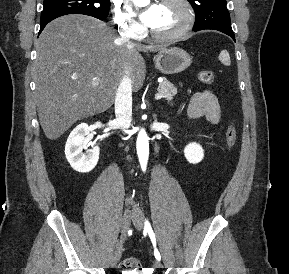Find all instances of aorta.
<instances>
[{"mask_svg": "<svg viewBox=\"0 0 289 274\" xmlns=\"http://www.w3.org/2000/svg\"><path fill=\"white\" fill-rule=\"evenodd\" d=\"M137 154L139 162L143 170L146 169V165L149 157V141L148 136L144 129H141L136 142Z\"/></svg>", "mask_w": 289, "mask_h": 274, "instance_id": "1", "label": "aorta"}]
</instances>
